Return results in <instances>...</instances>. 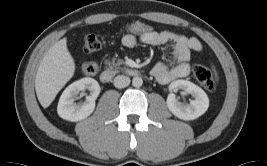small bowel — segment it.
Wrapping results in <instances>:
<instances>
[{
	"label": "small bowel",
	"mask_w": 267,
	"mask_h": 166,
	"mask_svg": "<svg viewBox=\"0 0 267 166\" xmlns=\"http://www.w3.org/2000/svg\"><path fill=\"white\" fill-rule=\"evenodd\" d=\"M138 41L151 46L171 45V60L160 61L152 69L153 76L161 84H168L188 76L191 53L202 51V45L198 39L188 38L172 30H151L137 35L128 31L122 38V45L126 48H133Z\"/></svg>",
	"instance_id": "c3829d8e"
}]
</instances>
